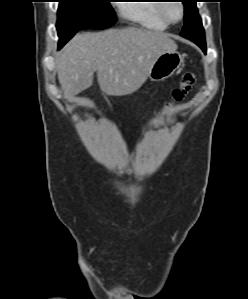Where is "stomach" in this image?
Returning <instances> with one entry per match:
<instances>
[{"instance_id": "0dacf381", "label": "stomach", "mask_w": 248, "mask_h": 299, "mask_svg": "<svg viewBox=\"0 0 248 299\" xmlns=\"http://www.w3.org/2000/svg\"><path fill=\"white\" fill-rule=\"evenodd\" d=\"M183 58L177 51L165 52L158 57L148 77L151 81H162L170 77L182 64Z\"/></svg>"}]
</instances>
